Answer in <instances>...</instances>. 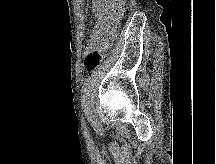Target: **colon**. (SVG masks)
I'll return each mask as SVG.
<instances>
[{"label": "colon", "instance_id": "obj_1", "mask_svg": "<svg viewBox=\"0 0 216 164\" xmlns=\"http://www.w3.org/2000/svg\"><path fill=\"white\" fill-rule=\"evenodd\" d=\"M102 59V50H90L84 58L83 67L87 72H93L99 67Z\"/></svg>", "mask_w": 216, "mask_h": 164}]
</instances>
